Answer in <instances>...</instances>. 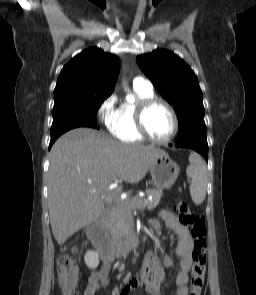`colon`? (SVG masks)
<instances>
[{
    "instance_id": "5ec220e1",
    "label": "colon",
    "mask_w": 256,
    "mask_h": 295,
    "mask_svg": "<svg viewBox=\"0 0 256 295\" xmlns=\"http://www.w3.org/2000/svg\"><path fill=\"white\" fill-rule=\"evenodd\" d=\"M174 211L180 222L191 227L194 240L192 251V278L189 295H202L207 263V228L203 216L194 213L185 201L177 199ZM75 245L66 247L64 253L58 258L59 285L63 295H77L78 266L74 255L77 252Z\"/></svg>"
}]
</instances>
